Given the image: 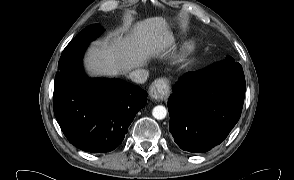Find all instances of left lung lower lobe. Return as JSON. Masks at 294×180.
I'll return each instance as SVG.
<instances>
[{"mask_svg":"<svg viewBox=\"0 0 294 180\" xmlns=\"http://www.w3.org/2000/svg\"><path fill=\"white\" fill-rule=\"evenodd\" d=\"M245 77L230 56L198 72L184 74L169 97V129L174 142L189 152L219 145L241 115Z\"/></svg>","mask_w":294,"mask_h":180,"instance_id":"0a47b994","label":"left lung lower lobe"}]
</instances>
